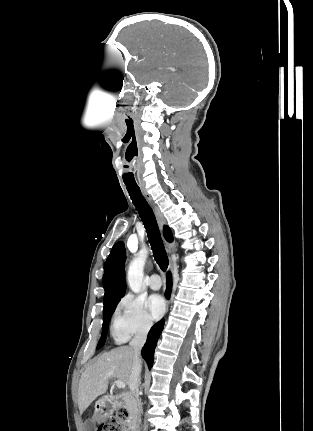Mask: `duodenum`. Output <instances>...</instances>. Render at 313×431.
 <instances>
[{
    "label": "duodenum",
    "mask_w": 313,
    "mask_h": 431,
    "mask_svg": "<svg viewBox=\"0 0 313 431\" xmlns=\"http://www.w3.org/2000/svg\"><path fill=\"white\" fill-rule=\"evenodd\" d=\"M115 402L126 406L130 411L127 421L129 431H138V405L134 397L130 393L120 394L115 397Z\"/></svg>",
    "instance_id": "obj_1"
}]
</instances>
